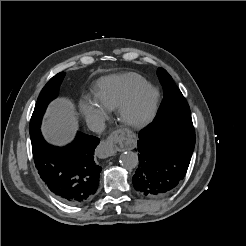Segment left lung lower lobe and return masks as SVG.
<instances>
[{"instance_id":"obj_1","label":"left lung lower lobe","mask_w":246,"mask_h":246,"mask_svg":"<svg viewBox=\"0 0 246 246\" xmlns=\"http://www.w3.org/2000/svg\"><path fill=\"white\" fill-rule=\"evenodd\" d=\"M195 146L191 120H153L139 132V167L134 188L147 197H161L184 178Z\"/></svg>"}]
</instances>
